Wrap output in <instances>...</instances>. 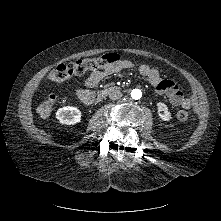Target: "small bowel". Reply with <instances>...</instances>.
<instances>
[{"mask_svg":"<svg viewBox=\"0 0 221 221\" xmlns=\"http://www.w3.org/2000/svg\"><path fill=\"white\" fill-rule=\"evenodd\" d=\"M131 67H133L131 62L119 61L104 71H91L85 78V87L77 90L78 97L85 103L90 102V100L94 97V92L91 88L96 87L106 75ZM138 71L150 82L153 86L154 92L156 94L167 95L172 105L182 107L184 109L191 107V101L184 97L179 86L172 80L164 79L157 69L152 68L149 65L142 64L138 67Z\"/></svg>","mask_w":221,"mask_h":221,"instance_id":"1","label":"small bowel"}]
</instances>
